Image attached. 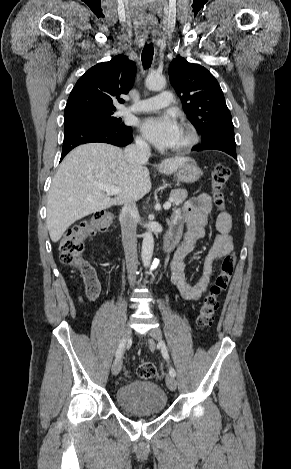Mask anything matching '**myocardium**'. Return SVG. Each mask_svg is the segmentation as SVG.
<instances>
[{
	"mask_svg": "<svg viewBox=\"0 0 291 469\" xmlns=\"http://www.w3.org/2000/svg\"><path fill=\"white\" fill-rule=\"evenodd\" d=\"M181 129L186 132L187 140L183 144L172 148L171 151L174 153H186L194 148L199 141L197 131L191 124L183 123Z\"/></svg>",
	"mask_w": 291,
	"mask_h": 469,
	"instance_id": "1",
	"label": "myocardium"
}]
</instances>
